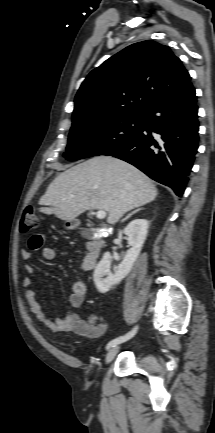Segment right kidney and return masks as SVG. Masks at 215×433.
Returning a JSON list of instances; mask_svg holds the SVG:
<instances>
[{
	"instance_id": "1",
	"label": "right kidney",
	"mask_w": 215,
	"mask_h": 433,
	"mask_svg": "<svg viewBox=\"0 0 215 433\" xmlns=\"http://www.w3.org/2000/svg\"><path fill=\"white\" fill-rule=\"evenodd\" d=\"M149 222L146 219H135L124 229L131 248L127 251L123 261L114 274L110 271L112 256L106 252L94 270L93 278L99 292L106 293L110 288L120 283L131 271L146 240Z\"/></svg>"
}]
</instances>
